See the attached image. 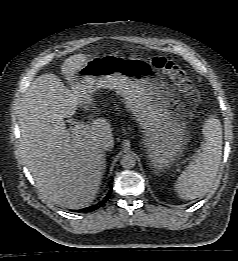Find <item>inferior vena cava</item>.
Returning <instances> with one entry per match:
<instances>
[{"instance_id": "obj_1", "label": "inferior vena cava", "mask_w": 238, "mask_h": 261, "mask_svg": "<svg viewBox=\"0 0 238 261\" xmlns=\"http://www.w3.org/2000/svg\"><path fill=\"white\" fill-rule=\"evenodd\" d=\"M99 148H100V151L105 152L106 150L110 149V145H108V144H101Z\"/></svg>"}]
</instances>
